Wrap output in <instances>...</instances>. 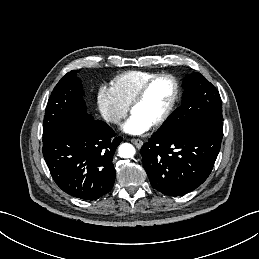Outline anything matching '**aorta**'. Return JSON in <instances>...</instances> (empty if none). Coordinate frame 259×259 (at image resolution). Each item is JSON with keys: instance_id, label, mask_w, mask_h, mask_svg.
Wrapping results in <instances>:
<instances>
[{"instance_id": "1", "label": "aorta", "mask_w": 259, "mask_h": 259, "mask_svg": "<svg viewBox=\"0 0 259 259\" xmlns=\"http://www.w3.org/2000/svg\"><path fill=\"white\" fill-rule=\"evenodd\" d=\"M135 153L136 150L130 143H123L119 146L118 154L121 158H132Z\"/></svg>"}]
</instances>
